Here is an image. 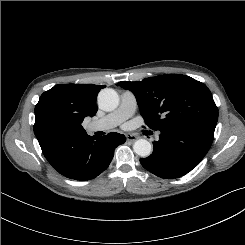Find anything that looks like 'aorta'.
I'll return each mask as SVG.
<instances>
[{
  "mask_svg": "<svg viewBox=\"0 0 245 245\" xmlns=\"http://www.w3.org/2000/svg\"><path fill=\"white\" fill-rule=\"evenodd\" d=\"M99 107L104 111H112L119 105L117 92L111 88L102 89L98 94ZM134 152L141 156L147 157L152 151V146L146 139H139L133 145Z\"/></svg>",
  "mask_w": 245,
  "mask_h": 245,
  "instance_id": "762f6f07",
  "label": "aorta"
}]
</instances>
